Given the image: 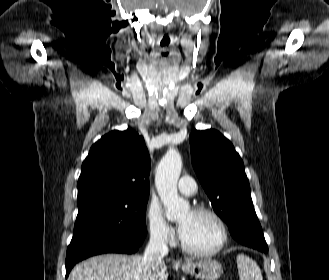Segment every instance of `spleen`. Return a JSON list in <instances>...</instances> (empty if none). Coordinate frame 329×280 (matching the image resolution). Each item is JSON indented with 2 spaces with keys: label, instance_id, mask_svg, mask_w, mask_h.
Returning <instances> with one entry per match:
<instances>
[{
  "label": "spleen",
  "instance_id": "spleen-1",
  "mask_svg": "<svg viewBox=\"0 0 329 280\" xmlns=\"http://www.w3.org/2000/svg\"><path fill=\"white\" fill-rule=\"evenodd\" d=\"M237 267L240 280H263L259 266L250 257L237 255Z\"/></svg>",
  "mask_w": 329,
  "mask_h": 280
}]
</instances>
